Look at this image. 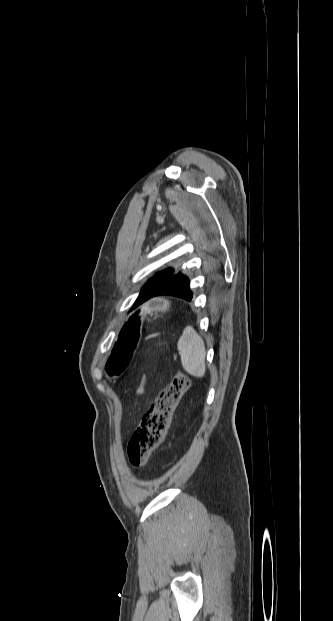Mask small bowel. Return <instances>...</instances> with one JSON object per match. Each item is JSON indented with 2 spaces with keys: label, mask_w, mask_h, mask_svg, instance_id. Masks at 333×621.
I'll list each match as a JSON object with an SVG mask.
<instances>
[{
  "label": "small bowel",
  "mask_w": 333,
  "mask_h": 621,
  "mask_svg": "<svg viewBox=\"0 0 333 621\" xmlns=\"http://www.w3.org/2000/svg\"><path fill=\"white\" fill-rule=\"evenodd\" d=\"M138 393H139V394H140V393H142V389H140V390L138 391Z\"/></svg>",
  "instance_id": "obj_1"
}]
</instances>
